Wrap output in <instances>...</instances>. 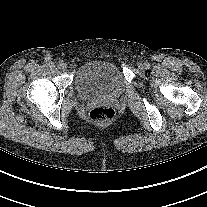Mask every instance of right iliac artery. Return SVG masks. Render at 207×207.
<instances>
[{"instance_id": "right-iliac-artery-1", "label": "right iliac artery", "mask_w": 207, "mask_h": 207, "mask_svg": "<svg viewBox=\"0 0 207 207\" xmlns=\"http://www.w3.org/2000/svg\"><path fill=\"white\" fill-rule=\"evenodd\" d=\"M62 64H63V61H59L58 62V68H60Z\"/></svg>"}]
</instances>
